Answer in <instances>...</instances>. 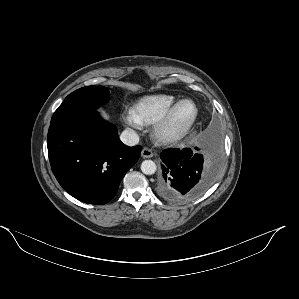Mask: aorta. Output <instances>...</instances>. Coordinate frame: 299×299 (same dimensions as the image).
<instances>
[{"mask_svg": "<svg viewBox=\"0 0 299 299\" xmlns=\"http://www.w3.org/2000/svg\"><path fill=\"white\" fill-rule=\"evenodd\" d=\"M157 166L152 160H145L141 163V171L145 175H152L156 172Z\"/></svg>", "mask_w": 299, "mask_h": 299, "instance_id": "762f6f07", "label": "aorta"}]
</instances>
